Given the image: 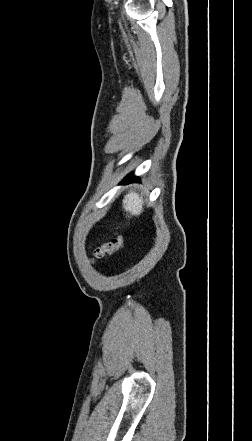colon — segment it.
<instances>
[{"label":"colon","instance_id":"colon-1","mask_svg":"<svg viewBox=\"0 0 252 441\" xmlns=\"http://www.w3.org/2000/svg\"><path fill=\"white\" fill-rule=\"evenodd\" d=\"M124 246V239L122 236L116 235L110 241L97 246L93 253V259H101L114 252L122 249Z\"/></svg>","mask_w":252,"mask_h":441}]
</instances>
